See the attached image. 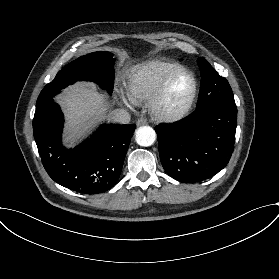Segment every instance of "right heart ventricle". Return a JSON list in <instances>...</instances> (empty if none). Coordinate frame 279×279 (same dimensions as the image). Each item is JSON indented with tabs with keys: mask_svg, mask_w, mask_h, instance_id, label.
I'll list each match as a JSON object with an SVG mask.
<instances>
[{
	"mask_svg": "<svg viewBox=\"0 0 279 279\" xmlns=\"http://www.w3.org/2000/svg\"><path fill=\"white\" fill-rule=\"evenodd\" d=\"M186 67L178 62L153 60L133 67L126 83L127 90L143 101L151 99L162 82Z\"/></svg>",
	"mask_w": 279,
	"mask_h": 279,
	"instance_id": "1",
	"label": "right heart ventricle"
}]
</instances>
